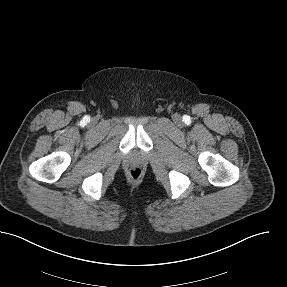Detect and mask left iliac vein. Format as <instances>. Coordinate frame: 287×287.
Returning a JSON list of instances; mask_svg holds the SVG:
<instances>
[{"instance_id":"4c4485c4","label":"left iliac vein","mask_w":287,"mask_h":287,"mask_svg":"<svg viewBox=\"0 0 287 287\" xmlns=\"http://www.w3.org/2000/svg\"><path fill=\"white\" fill-rule=\"evenodd\" d=\"M175 122H176L177 124H180V123H181V119H180L179 116L175 117Z\"/></svg>"}]
</instances>
